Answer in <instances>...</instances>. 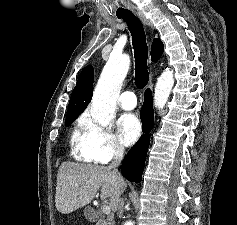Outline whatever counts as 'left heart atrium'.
<instances>
[{"label":"left heart atrium","instance_id":"39dd6f15","mask_svg":"<svg viewBox=\"0 0 237 225\" xmlns=\"http://www.w3.org/2000/svg\"><path fill=\"white\" fill-rule=\"evenodd\" d=\"M118 130L122 142L126 145H132L137 141L141 134V124L136 115L128 113L123 114L118 119Z\"/></svg>","mask_w":237,"mask_h":225}]
</instances>
